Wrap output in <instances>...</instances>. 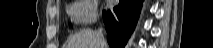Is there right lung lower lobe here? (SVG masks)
Wrapping results in <instances>:
<instances>
[{
    "mask_svg": "<svg viewBox=\"0 0 213 48\" xmlns=\"http://www.w3.org/2000/svg\"><path fill=\"white\" fill-rule=\"evenodd\" d=\"M143 0H119L113 10L103 11L110 48H124L137 23Z\"/></svg>",
    "mask_w": 213,
    "mask_h": 48,
    "instance_id": "right-lung-lower-lobe-1",
    "label": "right lung lower lobe"
}]
</instances>
